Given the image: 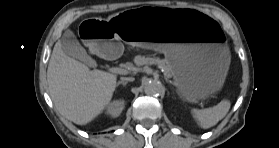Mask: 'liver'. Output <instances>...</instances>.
I'll use <instances>...</instances> for the list:
<instances>
[{
	"label": "liver",
	"instance_id": "obj_1",
	"mask_svg": "<svg viewBox=\"0 0 279 148\" xmlns=\"http://www.w3.org/2000/svg\"><path fill=\"white\" fill-rule=\"evenodd\" d=\"M47 81L50 97L59 113L77 125H86L110 103L117 76L90 70L66 55L57 42L49 61Z\"/></svg>",
	"mask_w": 279,
	"mask_h": 148
}]
</instances>
